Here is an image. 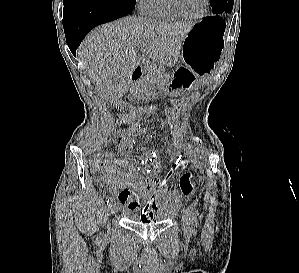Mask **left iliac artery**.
Listing matches in <instances>:
<instances>
[{"label":"left iliac artery","instance_id":"obj_1","mask_svg":"<svg viewBox=\"0 0 299 273\" xmlns=\"http://www.w3.org/2000/svg\"><path fill=\"white\" fill-rule=\"evenodd\" d=\"M187 210L189 212V216H190V220H191V229L195 233L196 228H197V219H196V215L194 213V209H193V207L189 206Z\"/></svg>","mask_w":299,"mask_h":273}]
</instances>
